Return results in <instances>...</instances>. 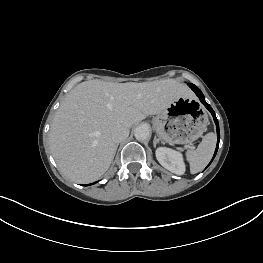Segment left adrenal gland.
I'll use <instances>...</instances> for the list:
<instances>
[{"instance_id":"obj_1","label":"left adrenal gland","mask_w":263,"mask_h":263,"mask_svg":"<svg viewBox=\"0 0 263 263\" xmlns=\"http://www.w3.org/2000/svg\"><path fill=\"white\" fill-rule=\"evenodd\" d=\"M159 142H160V139L155 136L154 140H153L154 147H156V144L159 143Z\"/></svg>"}]
</instances>
